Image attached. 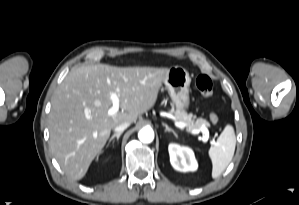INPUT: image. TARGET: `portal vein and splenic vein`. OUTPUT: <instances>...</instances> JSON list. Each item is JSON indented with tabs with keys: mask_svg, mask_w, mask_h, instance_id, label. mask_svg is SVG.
Here are the masks:
<instances>
[{
	"mask_svg": "<svg viewBox=\"0 0 299 205\" xmlns=\"http://www.w3.org/2000/svg\"><path fill=\"white\" fill-rule=\"evenodd\" d=\"M110 99L112 101V106L109 108L108 114L110 116H112V115L117 114V112L119 111L120 99L117 96V94L113 93V92L110 94ZM175 126H177L180 129H183V128L187 127V124L183 123V122H175ZM199 130L202 131L204 134H206V136H204L203 139H207L208 130L204 127H201Z\"/></svg>",
	"mask_w": 299,
	"mask_h": 205,
	"instance_id": "18ae733b",
	"label": "portal vein and splenic vein"
}]
</instances>
